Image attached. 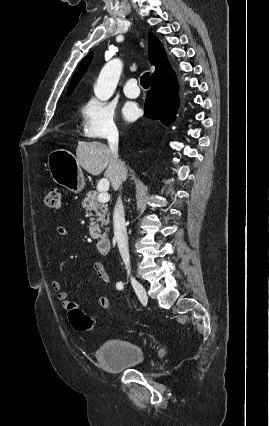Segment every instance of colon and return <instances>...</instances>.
<instances>
[{
    "instance_id": "5ec220e1",
    "label": "colon",
    "mask_w": 269,
    "mask_h": 426,
    "mask_svg": "<svg viewBox=\"0 0 269 426\" xmlns=\"http://www.w3.org/2000/svg\"><path fill=\"white\" fill-rule=\"evenodd\" d=\"M44 203L48 208L58 209L60 207V190L58 188L50 189L45 194ZM68 317L71 325L79 332L92 331L97 328V322L77 307L69 310Z\"/></svg>"
}]
</instances>
